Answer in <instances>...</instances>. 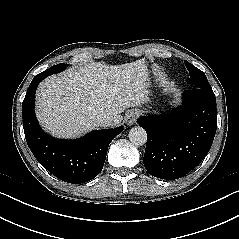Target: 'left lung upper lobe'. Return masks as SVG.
Listing matches in <instances>:
<instances>
[{
  "mask_svg": "<svg viewBox=\"0 0 239 239\" xmlns=\"http://www.w3.org/2000/svg\"><path fill=\"white\" fill-rule=\"evenodd\" d=\"M185 66L187 70L190 73V78L188 79V82L191 84L192 88H210L211 86L206 78V75L190 64L188 61L184 60Z\"/></svg>",
  "mask_w": 239,
  "mask_h": 239,
  "instance_id": "1",
  "label": "left lung upper lobe"
}]
</instances>
